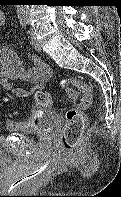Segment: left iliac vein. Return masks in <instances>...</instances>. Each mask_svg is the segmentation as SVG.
Masks as SVG:
<instances>
[{
	"label": "left iliac vein",
	"instance_id": "1",
	"mask_svg": "<svg viewBox=\"0 0 121 197\" xmlns=\"http://www.w3.org/2000/svg\"><path fill=\"white\" fill-rule=\"evenodd\" d=\"M31 40H32V45L35 48V50L37 51H41V46L39 45L35 33L33 31H31Z\"/></svg>",
	"mask_w": 121,
	"mask_h": 197
}]
</instances>
